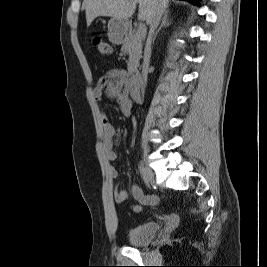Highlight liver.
I'll use <instances>...</instances> for the list:
<instances>
[{"mask_svg": "<svg viewBox=\"0 0 267 267\" xmlns=\"http://www.w3.org/2000/svg\"><path fill=\"white\" fill-rule=\"evenodd\" d=\"M137 4L138 19L150 24L158 9L163 13L168 8L169 0H84L82 8L86 12L87 26H90L98 16L127 20L133 15Z\"/></svg>", "mask_w": 267, "mask_h": 267, "instance_id": "obj_1", "label": "liver"}]
</instances>
